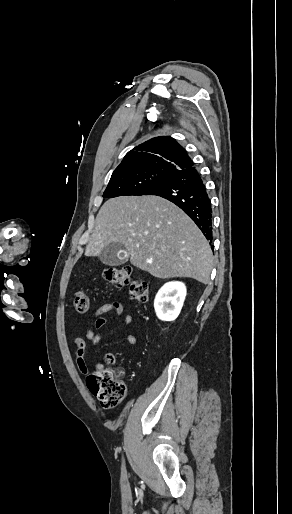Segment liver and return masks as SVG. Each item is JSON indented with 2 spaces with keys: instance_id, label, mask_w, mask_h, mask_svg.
<instances>
[{
  "instance_id": "liver-1",
  "label": "liver",
  "mask_w": 292,
  "mask_h": 514,
  "mask_svg": "<svg viewBox=\"0 0 292 514\" xmlns=\"http://www.w3.org/2000/svg\"><path fill=\"white\" fill-rule=\"evenodd\" d=\"M120 242L130 262L155 278H194L209 284L212 250L201 230L172 202L159 196H120L100 208L85 256H99Z\"/></svg>"
}]
</instances>
